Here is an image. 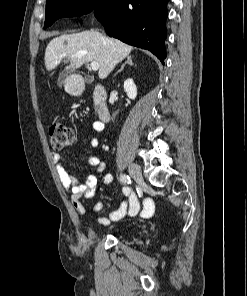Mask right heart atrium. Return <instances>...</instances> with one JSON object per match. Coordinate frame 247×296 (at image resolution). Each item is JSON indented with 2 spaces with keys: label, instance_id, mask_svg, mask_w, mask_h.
Listing matches in <instances>:
<instances>
[{
  "label": "right heart atrium",
  "instance_id": "d8ad5b80",
  "mask_svg": "<svg viewBox=\"0 0 247 296\" xmlns=\"http://www.w3.org/2000/svg\"><path fill=\"white\" fill-rule=\"evenodd\" d=\"M94 4V0H79L77 9L80 15H86L90 12Z\"/></svg>",
  "mask_w": 247,
  "mask_h": 296
}]
</instances>
